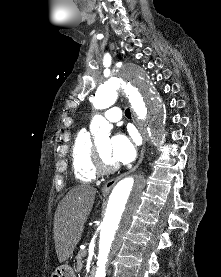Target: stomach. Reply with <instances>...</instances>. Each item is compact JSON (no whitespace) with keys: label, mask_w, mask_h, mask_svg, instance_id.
<instances>
[{"label":"stomach","mask_w":221,"mask_h":277,"mask_svg":"<svg viewBox=\"0 0 221 277\" xmlns=\"http://www.w3.org/2000/svg\"><path fill=\"white\" fill-rule=\"evenodd\" d=\"M51 277H76L75 270L68 264L56 268Z\"/></svg>","instance_id":"stomach-1"}]
</instances>
